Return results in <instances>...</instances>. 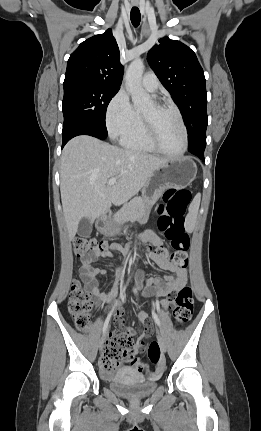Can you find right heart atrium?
Returning <instances> with one entry per match:
<instances>
[{
	"instance_id": "obj_1",
	"label": "right heart atrium",
	"mask_w": 261,
	"mask_h": 431,
	"mask_svg": "<svg viewBox=\"0 0 261 431\" xmlns=\"http://www.w3.org/2000/svg\"><path fill=\"white\" fill-rule=\"evenodd\" d=\"M137 112L130 102L128 93L121 89L110 100L106 109V126L112 138H119L133 128Z\"/></svg>"
}]
</instances>
